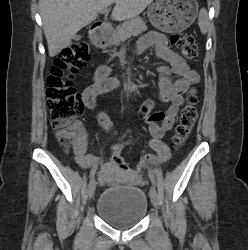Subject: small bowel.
<instances>
[{
	"instance_id": "obj_1",
	"label": "small bowel",
	"mask_w": 248,
	"mask_h": 250,
	"mask_svg": "<svg viewBox=\"0 0 248 250\" xmlns=\"http://www.w3.org/2000/svg\"><path fill=\"white\" fill-rule=\"evenodd\" d=\"M147 50H152L157 59L168 64L158 69L160 73L158 96L161 101L169 103L168 108L164 111L156 110L155 101L147 100L139 110L152 136L150 146L157 155L146 154L134 170L120 171L112 163H104L101 157L87 154L86 130L79 121L73 124L75 131L73 148L77 163L83 168L97 172L101 183H106L113 178L128 179L133 183H138L143 178L145 169L164 165L170 160V149L162 138L175 124L180 108L184 104L183 94L190 92L193 85L199 81L198 73L178 53L169 48L168 39L164 34L152 31L143 35L137 43L136 52L143 53ZM109 72V67L106 65L99 66L94 82L84 89L82 100L87 108L95 109L98 96L119 86L117 80L109 77ZM172 73L179 75L180 78L173 81ZM97 121L105 131L112 129V123L105 113L98 112ZM127 141L130 142V139Z\"/></svg>"
}]
</instances>
